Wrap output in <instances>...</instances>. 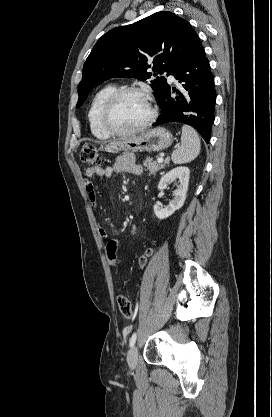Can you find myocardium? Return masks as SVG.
Wrapping results in <instances>:
<instances>
[{"mask_svg":"<svg viewBox=\"0 0 272 417\" xmlns=\"http://www.w3.org/2000/svg\"><path fill=\"white\" fill-rule=\"evenodd\" d=\"M129 94H137V95L142 96L149 105L150 115L144 123L130 130L122 131V130L115 129L111 125V114L117 102L122 97L129 95ZM156 117H157V107H156L153 97L148 92L138 87H124V88L117 89L106 100L102 108V112H101V124L104 130L111 136L126 137V136L137 134L147 129L155 121Z\"/></svg>","mask_w":272,"mask_h":417,"instance_id":"1","label":"myocardium"}]
</instances>
